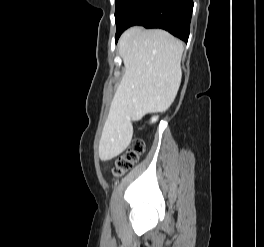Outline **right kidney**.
Returning a JSON list of instances; mask_svg holds the SVG:
<instances>
[{
	"label": "right kidney",
	"instance_id": "obj_1",
	"mask_svg": "<svg viewBox=\"0 0 264 247\" xmlns=\"http://www.w3.org/2000/svg\"><path fill=\"white\" fill-rule=\"evenodd\" d=\"M157 120H158V117L155 116V117H152L151 122L154 123V122H156Z\"/></svg>",
	"mask_w": 264,
	"mask_h": 247
}]
</instances>
